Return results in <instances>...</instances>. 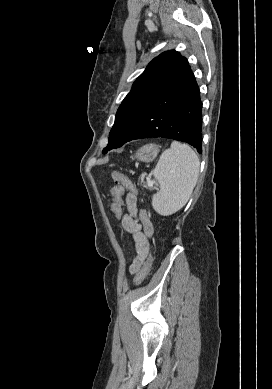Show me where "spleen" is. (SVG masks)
<instances>
[{
	"label": "spleen",
	"mask_w": 272,
	"mask_h": 389,
	"mask_svg": "<svg viewBox=\"0 0 272 389\" xmlns=\"http://www.w3.org/2000/svg\"><path fill=\"white\" fill-rule=\"evenodd\" d=\"M199 158L186 144L172 142L153 171L160 190L152 197L154 210L169 216L180 210L189 200L199 174Z\"/></svg>",
	"instance_id": "spleen-1"
}]
</instances>
